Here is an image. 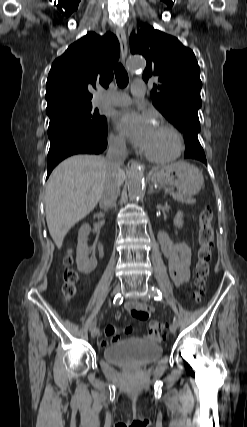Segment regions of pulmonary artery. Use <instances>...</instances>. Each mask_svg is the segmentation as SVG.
<instances>
[{
	"label": "pulmonary artery",
	"mask_w": 247,
	"mask_h": 427,
	"mask_svg": "<svg viewBox=\"0 0 247 427\" xmlns=\"http://www.w3.org/2000/svg\"><path fill=\"white\" fill-rule=\"evenodd\" d=\"M145 84L143 82H136L133 84L131 92L137 98H142L145 94ZM103 105L110 106H126L131 103V98L126 94H112L104 96L101 101Z\"/></svg>",
	"instance_id": "pulmonary-artery-1"
}]
</instances>
